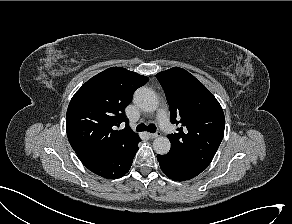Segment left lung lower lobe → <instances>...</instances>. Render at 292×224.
<instances>
[{"instance_id": "0a47b994", "label": "left lung lower lobe", "mask_w": 292, "mask_h": 224, "mask_svg": "<svg viewBox=\"0 0 292 224\" xmlns=\"http://www.w3.org/2000/svg\"><path fill=\"white\" fill-rule=\"evenodd\" d=\"M157 159L161 170L172 180L185 181L201 173L173 155H157Z\"/></svg>"}]
</instances>
